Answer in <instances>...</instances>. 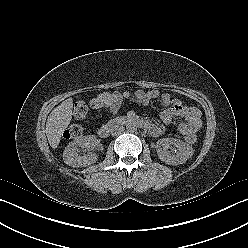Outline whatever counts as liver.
I'll return each mask as SVG.
<instances>
[{
	"mask_svg": "<svg viewBox=\"0 0 248 248\" xmlns=\"http://www.w3.org/2000/svg\"><path fill=\"white\" fill-rule=\"evenodd\" d=\"M73 99L69 98L54 108L46 122V135L50 146L56 149L61 136L71 122Z\"/></svg>",
	"mask_w": 248,
	"mask_h": 248,
	"instance_id": "6515ba94",
	"label": "liver"
}]
</instances>
